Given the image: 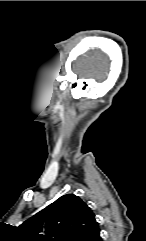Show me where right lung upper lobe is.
Returning a JSON list of instances; mask_svg holds the SVG:
<instances>
[{"mask_svg":"<svg viewBox=\"0 0 146 241\" xmlns=\"http://www.w3.org/2000/svg\"><path fill=\"white\" fill-rule=\"evenodd\" d=\"M22 226L31 241H102L94 213L74 194L61 196Z\"/></svg>","mask_w":146,"mask_h":241,"instance_id":"1","label":"right lung upper lobe"}]
</instances>
